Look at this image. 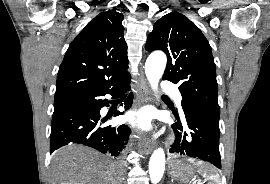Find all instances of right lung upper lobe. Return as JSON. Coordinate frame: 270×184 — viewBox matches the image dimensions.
<instances>
[{
	"mask_svg": "<svg viewBox=\"0 0 270 184\" xmlns=\"http://www.w3.org/2000/svg\"><path fill=\"white\" fill-rule=\"evenodd\" d=\"M122 20L116 8L103 11L77 35L60 65L55 96L105 88L130 78Z\"/></svg>",
	"mask_w": 270,
	"mask_h": 184,
	"instance_id": "right-lung-upper-lobe-1",
	"label": "right lung upper lobe"
}]
</instances>
